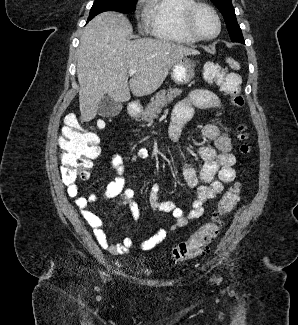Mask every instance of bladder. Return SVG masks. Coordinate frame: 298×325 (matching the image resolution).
Instances as JSON below:
<instances>
[{
	"mask_svg": "<svg viewBox=\"0 0 298 325\" xmlns=\"http://www.w3.org/2000/svg\"><path fill=\"white\" fill-rule=\"evenodd\" d=\"M136 272L140 275H145V276H149L151 275L150 270L143 268V267H137L136 268Z\"/></svg>",
	"mask_w": 298,
	"mask_h": 325,
	"instance_id": "31cf9c89",
	"label": "bladder"
}]
</instances>
